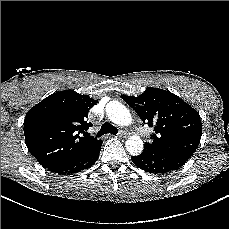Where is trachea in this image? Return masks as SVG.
Returning a JSON list of instances; mask_svg holds the SVG:
<instances>
[{"instance_id": "1", "label": "trachea", "mask_w": 229, "mask_h": 229, "mask_svg": "<svg viewBox=\"0 0 229 229\" xmlns=\"http://www.w3.org/2000/svg\"><path fill=\"white\" fill-rule=\"evenodd\" d=\"M107 133H111L113 135L117 134V129L109 122H105L102 127L100 132L98 133L99 137L107 134Z\"/></svg>"}]
</instances>
